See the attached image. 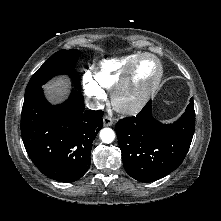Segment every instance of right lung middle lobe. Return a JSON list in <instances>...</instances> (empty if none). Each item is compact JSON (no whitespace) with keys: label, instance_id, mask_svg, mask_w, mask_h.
<instances>
[{"label":"right lung middle lobe","instance_id":"dd1d6c3e","mask_svg":"<svg viewBox=\"0 0 221 221\" xmlns=\"http://www.w3.org/2000/svg\"><path fill=\"white\" fill-rule=\"evenodd\" d=\"M80 51L75 49L60 50L53 54L32 76L26 90L25 96L41 88L52 77L59 74L73 73L74 66L78 60ZM75 85L80 89V83L75 78Z\"/></svg>","mask_w":221,"mask_h":221}]
</instances>
